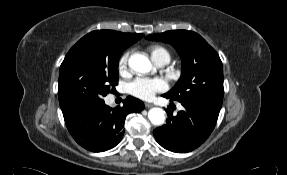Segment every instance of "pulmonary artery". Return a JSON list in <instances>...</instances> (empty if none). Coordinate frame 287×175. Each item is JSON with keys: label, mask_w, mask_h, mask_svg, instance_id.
<instances>
[{"label": "pulmonary artery", "mask_w": 287, "mask_h": 175, "mask_svg": "<svg viewBox=\"0 0 287 175\" xmlns=\"http://www.w3.org/2000/svg\"><path fill=\"white\" fill-rule=\"evenodd\" d=\"M155 62H156L157 65H159V66H164V65H166V64L169 62V59L166 58V57H162V58L156 60Z\"/></svg>", "instance_id": "e3ab8cb5"}]
</instances>
